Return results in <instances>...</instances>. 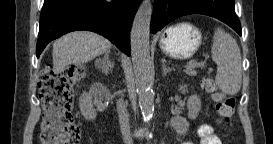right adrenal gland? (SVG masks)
Masks as SVG:
<instances>
[{"label":"right adrenal gland","instance_id":"2a0ac1e0","mask_svg":"<svg viewBox=\"0 0 273 144\" xmlns=\"http://www.w3.org/2000/svg\"><path fill=\"white\" fill-rule=\"evenodd\" d=\"M110 52L111 51L108 50L102 59H98L96 61V63L99 64L98 68L102 70V73H104V75H108L114 67V63L110 59Z\"/></svg>","mask_w":273,"mask_h":144}]
</instances>
